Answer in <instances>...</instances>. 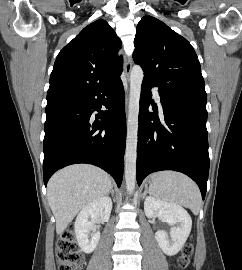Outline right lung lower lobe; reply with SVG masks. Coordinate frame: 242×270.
Masks as SVG:
<instances>
[{
    "instance_id": "obj_1",
    "label": "right lung lower lobe",
    "mask_w": 242,
    "mask_h": 270,
    "mask_svg": "<svg viewBox=\"0 0 242 270\" xmlns=\"http://www.w3.org/2000/svg\"><path fill=\"white\" fill-rule=\"evenodd\" d=\"M102 105L107 110L100 111ZM99 114L94 115L93 112ZM43 177L75 163L108 172L120 187L126 139L124 88L118 76L87 93L47 104Z\"/></svg>"
}]
</instances>
